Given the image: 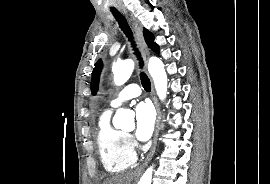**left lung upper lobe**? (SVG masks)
I'll return each instance as SVG.
<instances>
[{
  "mask_svg": "<svg viewBox=\"0 0 270 184\" xmlns=\"http://www.w3.org/2000/svg\"><path fill=\"white\" fill-rule=\"evenodd\" d=\"M143 34H144V38L148 47L154 52L160 53L159 46L154 42V35L148 30H146L145 28H144ZM102 66H103L102 60L100 59L96 62L95 68L93 69V72H92L93 78L91 81V91L93 95H95L98 91Z\"/></svg>",
  "mask_w": 270,
  "mask_h": 184,
  "instance_id": "obj_1",
  "label": "left lung upper lobe"
}]
</instances>
